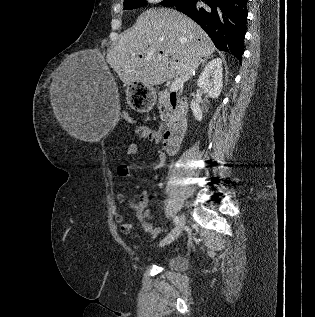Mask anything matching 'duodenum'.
<instances>
[{
    "mask_svg": "<svg viewBox=\"0 0 315 317\" xmlns=\"http://www.w3.org/2000/svg\"><path fill=\"white\" fill-rule=\"evenodd\" d=\"M168 106L173 118L169 127L162 133V145L168 154H175L187 130V104L177 92L172 91L168 97Z\"/></svg>",
    "mask_w": 315,
    "mask_h": 317,
    "instance_id": "obj_1",
    "label": "duodenum"
}]
</instances>
